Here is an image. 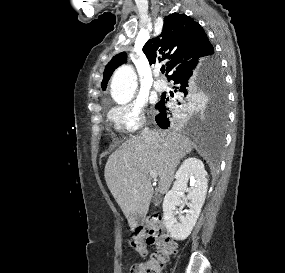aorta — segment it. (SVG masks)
Wrapping results in <instances>:
<instances>
[{
	"instance_id": "762f6f07",
	"label": "aorta",
	"mask_w": 285,
	"mask_h": 273,
	"mask_svg": "<svg viewBox=\"0 0 285 273\" xmlns=\"http://www.w3.org/2000/svg\"><path fill=\"white\" fill-rule=\"evenodd\" d=\"M137 88V76L133 67L124 65L118 68L112 78L111 96L118 104L132 100Z\"/></svg>"
}]
</instances>
